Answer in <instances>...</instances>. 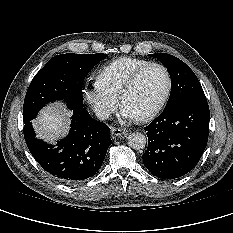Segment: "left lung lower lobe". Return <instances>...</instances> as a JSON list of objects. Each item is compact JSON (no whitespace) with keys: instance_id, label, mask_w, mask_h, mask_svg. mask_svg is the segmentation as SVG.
Returning <instances> with one entry per match:
<instances>
[{"instance_id":"0a47b994","label":"left lung lower lobe","mask_w":233,"mask_h":233,"mask_svg":"<svg viewBox=\"0 0 233 233\" xmlns=\"http://www.w3.org/2000/svg\"><path fill=\"white\" fill-rule=\"evenodd\" d=\"M207 101H185L165 108L145 127L148 148L144 165L158 178L174 179L191 171L208 141Z\"/></svg>"}]
</instances>
